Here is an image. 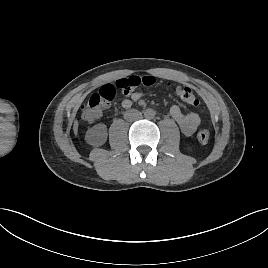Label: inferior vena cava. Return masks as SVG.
Returning a JSON list of instances; mask_svg holds the SVG:
<instances>
[{"mask_svg":"<svg viewBox=\"0 0 268 268\" xmlns=\"http://www.w3.org/2000/svg\"><path fill=\"white\" fill-rule=\"evenodd\" d=\"M141 116L142 114L138 110H135V109L127 110L124 113V119L128 121H134V120L140 119Z\"/></svg>","mask_w":268,"mask_h":268,"instance_id":"obj_1","label":"inferior vena cava"}]
</instances>
